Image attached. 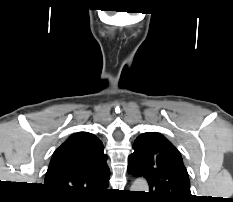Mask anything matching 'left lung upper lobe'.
Listing matches in <instances>:
<instances>
[{
	"label": "left lung upper lobe",
	"mask_w": 233,
	"mask_h": 202,
	"mask_svg": "<svg viewBox=\"0 0 233 202\" xmlns=\"http://www.w3.org/2000/svg\"><path fill=\"white\" fill-rule=\"evenodd\" d=\"M128 159V172L149 183V197L156 202H188L190 181L180 152L161 134L139 135Z\"/></svg>",
	"instance_id": "obj_1"
}]
</instances>
